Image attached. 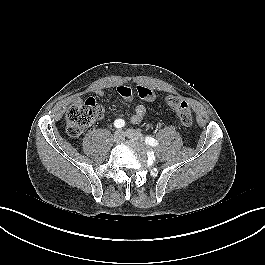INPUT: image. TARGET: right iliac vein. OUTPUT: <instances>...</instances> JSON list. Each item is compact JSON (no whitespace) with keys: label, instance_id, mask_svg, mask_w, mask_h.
Returning a JSON list of instances; mask_svg holds the SVG:
<instances>
[{"label":"right iliac vein","instance_id":"obj_1","mask_svg":"<svg viewBox=\"0 0 265 265\" xmlns=\"http://www.w3.org/2000/svg\"><path fill=\"white\" fill-rule=\"evenodd\" d=\"M125 138V134L122 130H117L113 135V141L115 143H121Z\"/></svg>","mask_w":265,"mask_h":265}]
</instances>
